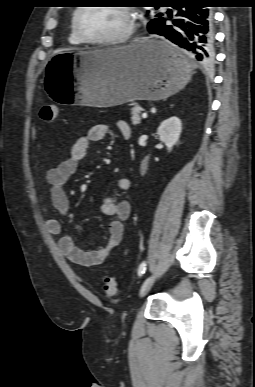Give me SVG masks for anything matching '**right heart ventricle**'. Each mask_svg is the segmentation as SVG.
<instances>
[{
	"label": "right heart ventricle",
	"instance_id": "right-heart-ventricle-1",
	"mask_svg": "<svg viewBox=\"0 0 255 387\" xmlns=\"http://www.w3.org/2000/svg\"><path fill=\"white\" fill-rule=\"evenodd\" d=\"M68 40L71 44H74V45H80L82 44L83 42L81 40H79V38L75 35L74 31H73V28H72V25H71V28H70V32H69V37H68Z\"/></svg>",
	"mask_w": 255,
	"mask_h": 387
}]
</instances>
